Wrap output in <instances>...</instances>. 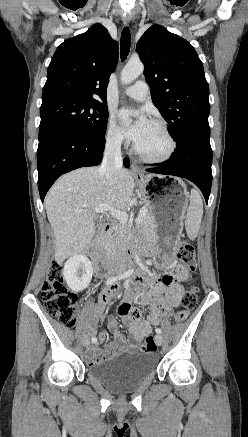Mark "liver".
Masks as SVG:
<instances>
[{
  "instance_id": "obj_1",
  "label": "liver",
  "mask_w": 248,
  "mask_h": 437,
  "mask_svg": "<svg viewBox=\"0 0 248 437\" xmlns=\"http://www.w3.org/2000/svg\"><path fill=\"white\" fill-rule=\"evenodd\" d=\"M116 178L110 184L98 167H85L61 176L50 189L45 209L55 235L58 263L90 245L98 219L96 207L124 210L130 204L134 190L130 172L121 169Z\"/></svg>"
}]
</instances>
